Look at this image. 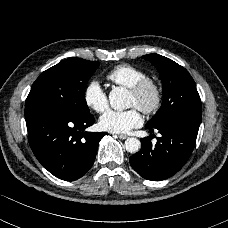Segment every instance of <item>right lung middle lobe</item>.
I'll list each match as a JSON object with an SVG mask.
<instances>
[{"label":"right lung middle lobe","instance_id":"1","mask_svg":"<svg viewBox=\"0 0 228 228\" xmlns=\"http://www.w3.org/2000/svg\"><path fill=\"white\" fill-rule=\"evenodd\" d=\"M99 62L69 58L44 71L34 82L25 110L55 106L79 115H89L85 87Z\"/></svg>","mask_w":228,"mask_h":228}]
</instances>
